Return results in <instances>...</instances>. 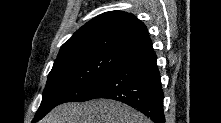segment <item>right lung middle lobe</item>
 Instances as JSON below:
<instances>
[{
    "label": "right lung middle lobe",
    "instance_id": "right-lung-middle-lobe-1",
    "mask_svg": "<svg viewBox=\"0 0 221 123\" xmlns=\"http://www.w3.org/2000/svg\"><path fill=\"white\" fill-rule=\"evenodd\" d=\"M128 58L109 49H85L57 57L34 119L43 118L59 104L89 100L96 84Z\"/></svg>",
    "mask_w": 221,
    "mask_h": 123
}]
</instances>
